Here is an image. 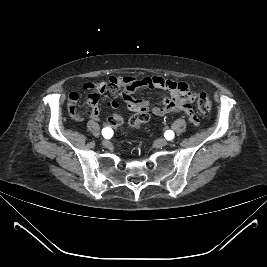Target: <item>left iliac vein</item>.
Returning <instances> with one entry per match:
<instances>
[{"mask_svg": "<svg viewBox=\"0 0 267 267\" xmlns=\"http://www.w3.org/2000/svg\"><path fill=\"white\" fill-rule=\"evenodd\" d=\"M168 144V141L166 140V139H157L156 141H155V146L156 147H164V146H166Z\"/></svg>", "mask_w": 267, "mask_h": 267, "instance_id": "4c4485c4", "label": "left iliac vein"}]
</instances>
